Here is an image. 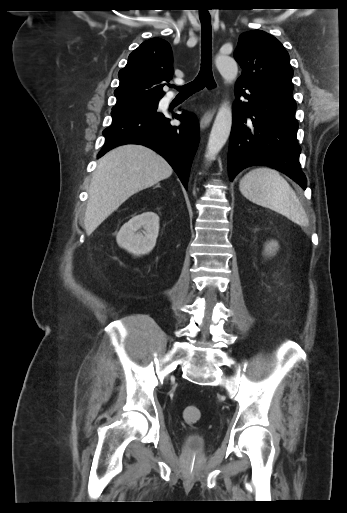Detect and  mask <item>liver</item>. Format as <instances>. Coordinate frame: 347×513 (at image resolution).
Listing matches in <instances>:
<instances>
[{
	"instance_id": "liver-1",
	"label": "liver",
	"mask_w": 347,
	"mask_h": 513,
	"mask_svg": "<svg viewBox=\"0 0 347 513\" xmlns=\"http://www.w3.org/2000/svg\"><path fill=\"white\" fill-rule=\"evenodd\" d=\"M167 161L148 147L126 144L99 159L93 173L84 228L90 235L130 196L171 176Z\"/></svg>"
}]
</instances>
